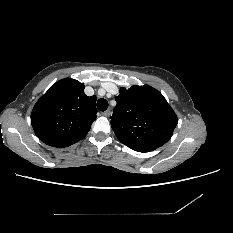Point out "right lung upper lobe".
Wrapping results in <instances>:
<instances>
[{
  "mask_svg": "<svg viewBox=\"0 0 233 233\" xmlns=\"http://www.w3.org/2000/svg\"><path fill=\"white\" fill-rule=\"evenodd\" d=\"M84 84L67 78L56 82L37 101L31 123L37 137L53 147H68L90 130L96 119V96H86Z\"/></svg>",
  "mask_w": 233,
  "mask_h": 233,
  "instance_id": "obj_1",
  "label": "right lung upper lobe"
}]
</instances>
